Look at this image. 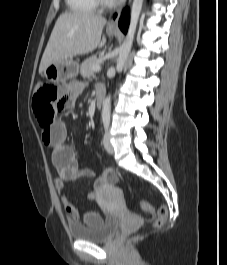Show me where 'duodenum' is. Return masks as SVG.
<instances>
[{
    "label": "duodenum",
    "mask_w": 227,
    "mask_h": 265,
    "mask_svg": "<svg viewBox=\"0 0 227 265\" xmlns=\"http://www.w3.org/2000/svg\"><path fill=\"white\" fill-rule=\"evenodd\" d=\"M104 96H105L104 89L102 87H98L96 91V98H95V103L98 108L102 106L104 102Z\"/></svg>",
    "instance_id": "obj_1"
}]
</instances>
